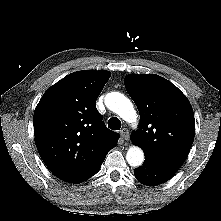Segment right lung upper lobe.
<instances>
[{
    "instance_id": "cb5924a9",
    "label": "right lung upper lobe",
    "mask_w": 221,
    "mask_h": 221,
    "mask_svg": "<svg viewBox=\"0 0 221 221\" xmlns=\"http://www.w3.org/2000/svg\"><path fill=\"white\" fill-rule=\"evenodd\" d=\"M111 74L74 72L50 87L33 116L35 143L49 170L75 183L113 148L119 135L105 126L96 100Z\"/></svg>"
}]
</instances>
